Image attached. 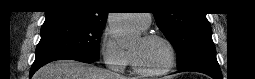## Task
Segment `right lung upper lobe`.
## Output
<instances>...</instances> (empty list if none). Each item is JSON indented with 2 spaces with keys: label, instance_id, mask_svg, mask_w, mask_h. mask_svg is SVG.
<instances>
[{
  "label": "right lung upper lobe",
  "instance_id": "cb5924a9",
  "mask_svg": "<svg viewBox=\"0 0 255 79\" xmlns=\"http://www.w3.org/2000/svg\"><path fill=\"white\" fill-rule=\"evenodd\" d=\"M98 0H55L45 12L48 21H72L93 25H105L108 12Z\"/></svg>",
  "mask_w": 255,
  "mask_h": 79
}]
</instances>
